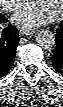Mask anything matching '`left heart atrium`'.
Wrapping results in <instances>:
<instances>
[{"mask_svg":"<svg viewBox=\"0 0 63 107\" xmlns=\"http://www.w3.org/2000/svg\"><path fill=\"white\" fill-rule=\"evenodd\" d=\"M51 18V13L39 7L37 3L31 2L17 11L13 21L25 28H33L45 24Z\"/></svg>","mask_w":63,"mask_h":107,"instance_id":"left-heart-atrium-1","label":"left heart atrium"}]
</instances>
